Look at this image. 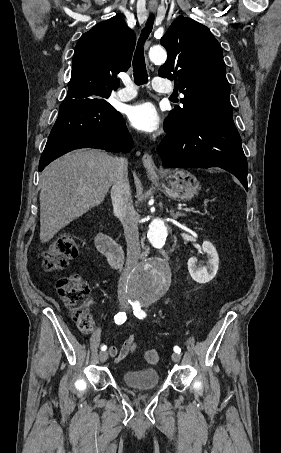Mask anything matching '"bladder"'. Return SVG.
<instances>
[{
    "mask_svg": "<svg viewBox=\"0 0 281 453\" xmlns=\"http://www.w3.org/2000/svg\"><path fill=\"white\" fill-rule=\"evenodd\" d=\"M122 381L132 388L149 389L156 387L159 384L160 378L156 370L146 368L124 372L122 374Z\"/></svg>",
    "mask_w": 281,
    "mask_h": 453,
    "instance_id": "obj_1",
    "label": "bladder"
}]
</instances>
